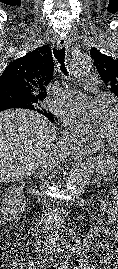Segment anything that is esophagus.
<instances>
[{
    "label": "esophagus",
    "mask_w": 118,
    "mask_h": 269,
    "mask_svg": "<svg viewBox=\"0 0 118 269\" xmlns=\"http://www.w3.org/2000/svg\"><path fill=\"white\" fill-rule=\"evenodd\" d=\"M69 42L66 38H59L57 41V48L61 49L63 47L68 48ZM87 158V153L82 150L75 151L73 154V159L75 161H82Z\"/></svg>",
    "instance_id": "obj_1"
}]
</instances>
